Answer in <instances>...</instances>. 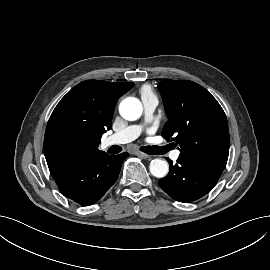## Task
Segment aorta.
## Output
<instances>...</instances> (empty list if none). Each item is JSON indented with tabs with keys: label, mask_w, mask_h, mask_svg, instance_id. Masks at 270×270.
Returning a JSON list of instances; mask_svg holds the SVG:
<instances>
[{
	"label": "aorta",
	"mask_w": 270,
	"mask_h": 270,
	"mask_svg": "<svg viewBox=\"0 0 270 270\" xmlns=\"http://www.w3.org/2000/svg\"><path fill=\"white\" fill-rule=\"evenodd\" d=\"M142 112L143 107L141 102L134 97L125 98L119 105L120 115L128 121L137 120L142 115ZM149 169L154 177L163 178L169 171V165L165 160L154 159L151 161Z\"/></svg>",
	"instance_id": "1"
}]
</instances>
